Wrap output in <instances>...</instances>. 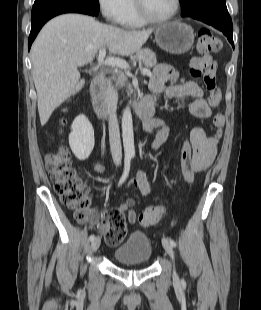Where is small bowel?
<instances>
[{
    "label": "small bowel",
    "mask_w": 261,
    "mask_h": 310,
    "mask_svg": "<svg viewBox=\"0 0 261 310\" xmlns=\"http://www.w3.org/2000/svg\"><path fill=\"white\" fill-rule=\"evenodd\" d=\"M151 89L158 96L164 95L181 101H189L188 109L190 113L198 118H207L210 115V107L203 97V90L195 82L181 80L177 73L169 65L163 64L158 66L154 71L151 81ZM144 129L153 134L152 148H159L166 140L168 127L160 120H151L148 128ZM186 142V141H185ZM192 147L191 169L193 172L205 170L214 160L218 151V139L209 137L200 127H195L190 132V139L187 141ZM95 172H103L104 166L96 162L92 165ZM136 187L142 194H149L152 190L144 172H138L135 181ZM133 201L121 204L117 211L126 213L128 222L136 223L137 215L131 209Z\"/></svg>",
    "instance_id": "obj_1"
}]
</instances>
